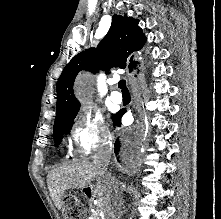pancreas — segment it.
Listing matches in <instances>:
<instances>
[{"instance_id":"obj_1","label":"pancreas","mask_w":221,"mask_h":219,"mask_svg":"<svg viewBox=\"0 0 221 219\" xmlns=\"http://www.w3.org/2000/svg\"><path fill=\"white\" fill-rule=\"evenodd\" d=\"M92 219H100L99 211H95L94 213H92Z\"/></svg>"}]
</instances>
